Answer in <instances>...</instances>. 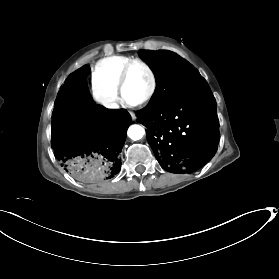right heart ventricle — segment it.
Returning <instances> with one entry per match:
<instances>
[{
    "instance_id": "obj_1",
    "label": "right heart ventricle",
    "mask_w": 279,
    "mask_h": 279,
    "mask_svg": "<svg viewBox=\"0 0 279 279\" xmlns=\"http://www.w3.org/2000/svg\"><path fill=\"white\" fill-rule=\"evenodd\" d=\"M132 59L119 55L100 59L91 69L92 84H100L117 95L118 76L123 67Z\"/></svg>"
}]
</instances>
